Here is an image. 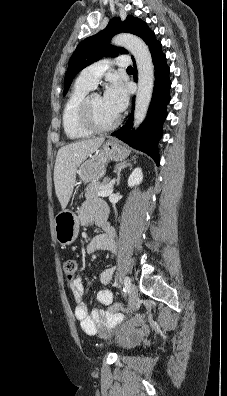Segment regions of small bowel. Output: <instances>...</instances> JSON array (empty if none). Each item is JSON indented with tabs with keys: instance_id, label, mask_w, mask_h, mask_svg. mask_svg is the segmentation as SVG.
Masks as SVG:
<instances>
[{
	"instance_id": "c3829d8e",
	"label": "small bowel",
	"mask_w": 227,
	"mask_h": 396,
	"mask_svg": "<svg viewBox=\"0 0 227 396\" xmlns=\"http://www.w3.org/2000/svg\"><path fill=\"white\" fill-rule=\"evenodd\" d=\"M107 207L98 199L85 202L79 210L78 216L83 225L93 222L98 224L103 221V232L96 235L88 244L87 251L97 250L114 252L117 248L114 229L107 223ZM114 275V268H106L100 275L103 285L110 283ZM70 291L75 301L74 314L80 322L81 328L88 335L106 337L110 331L123 324L124 316L120 311L112 312L110 309L94 308L90 313L84 301L85 286L81 277L75 278L69 284ZM97 302L102 306H110L114 300V294L108 289H102L97 293ZM149 327L142 317H136L125 323L120 340L126 343H136L149 334Z\"/></svg>"
}]
</instances>
